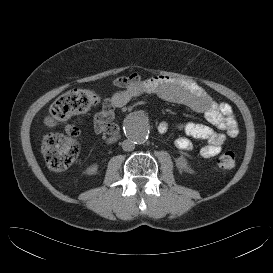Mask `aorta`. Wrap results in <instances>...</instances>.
<instances>
[{
  "instance_id": "obj_1",
  "label": "aorta",
  "mask_w": 273,
  "mask_h": 273,
  "mask_svg": "<svg viewBox=\"0 0 273 273\" xmlns=\"http://www.w3.org/2000/svg\"><path fill=\"white\" fill-rule=\"evenodd\" d=\"M125 131L127 135L136 144H143L147 141L149 137V129L146 122L137 117L131 118L125 124Z\"/></svg>"
}]
</instances>
